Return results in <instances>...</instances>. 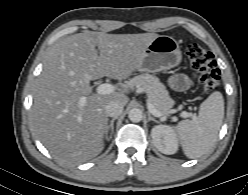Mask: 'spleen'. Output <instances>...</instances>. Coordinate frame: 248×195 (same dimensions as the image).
<instances>
[{
	"mask_svg": "<svg viewBox=\"0 0 248 195\" xmlns=\"http://www.w3.org/2000/svg\"><path fill=\"white\" fill-rule=\"evenodd\" d=\"M223 118V96L216 91L201 103L198 116L177 124L175 130L183 152L188 158L201 157L213 147Z\"/></svg>",
	"mask_w": 248,
	"mask_h": 195,
	"instance_id": "3e777b00",
	"label": "spleen"
}]
</instances>
